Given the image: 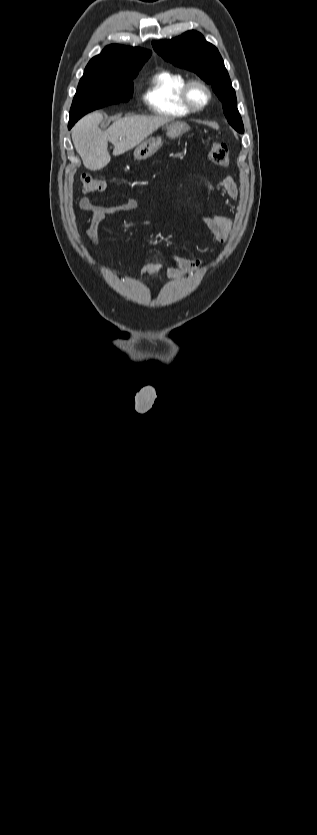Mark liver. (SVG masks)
I'll use <instances>...</instances> for the list:
<instances>
[{
	"label": "liver",
	"mask_w": 317,
	"mask_h": 835,
	"mask_svg": "<svg viewBox=\"0 0 317 835\" xmlns=\"http://www.w3.org/2000/svg\"><path fill=\"white\" fill-rule=\"evenodd\" d=\"M102 120V113L93 112L80 119L72 129L74 147L89 170H100L109 164L108 142L114 145L113 155L118 156L138 146L168 122L160 117L126 116L102 131L99 128Z\"/></svg>",
	"instance_id": "6515ba94"
}]
</instances>
